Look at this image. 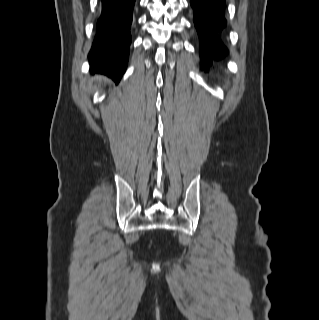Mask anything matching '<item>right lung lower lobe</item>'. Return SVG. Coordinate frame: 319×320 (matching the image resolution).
<instances>
[{
  "label": "right lung lower lobe",
  "mask_w": 319,
  "mask_h": 320,
  "mask_svg": "<svg viewBox=\"0 0 319 320\" xmlns=\"http://www.w3.org/2000/svg\"><path fill=\"white\" fill-rule=\"evenodd\" d=\"M135 0H101L97 33L89 52L92 72L118 83L126 70L131 43L130 26Z\"/></svg>",
  "instance_id": "98d812e1"
}]
</instances>
